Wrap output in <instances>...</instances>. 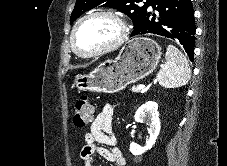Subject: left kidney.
Wrapping results in <instances>:
<instances>
[{
	"instance_id": "5707ae66",
	"label": "left kidney",
	"mask_w": 227,
	"mask_h": 166,
	"mask_svg": "<svg viewBox=\"0 0 227 166\" xmlns=\"http://www.w3.org/2000/svg\"><path fill=\"white\" fill-rule=\"evenodd\" d=\"M135 121L140 123H146L150 126L149 128V140L146 143V146L141 147L138 144L131 142L130 152L133 155H142L147 150H150L160 133V119L158 112V104L154 101H147L142 104L135 113Z\"/></svg>"
}]
</instances>
